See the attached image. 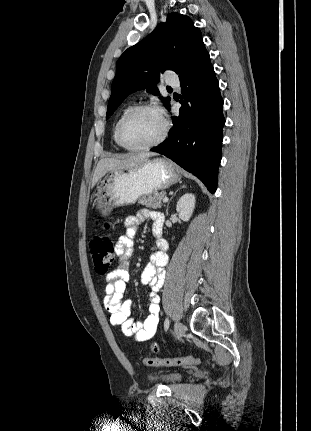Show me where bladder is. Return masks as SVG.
I'll return each instance as SVG.
<instances>
[{
  "mask_svg": "<svg viewBox=\"0 0 311 431\" xmlns=\"http://www.w3.org/2000/svg\"><path fill=\"white\" fill-rule=\"evenodd\" d=\"M183 378H184V374L176 370L152 372L148 374V379L150 381H160L166 385L180 382Z\"/></svg>",
  "mask_w": 311,
  "mask_h": 431,
  "instance_id": "1",
  "label": "bladder"
}]
</instances>
